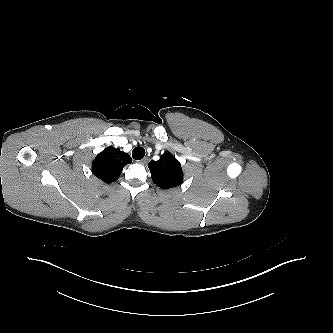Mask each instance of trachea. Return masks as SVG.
Returning <instances> with one entry per match:
<instances>
[{"label": "trachea", "mask_w": 333, "mask_h": 333, "mask_svg": "<svg viewBox=\"0 0 333 333\" xmlns=\"http://www.w3.org/2000/svg\"><path fill=\"white\" fill-rule=\"evenodd\" d=\"M145 155V149L143 147H136L132 151V157L135 160H141Z\"/></svg>", "instance_id": "trachea-1"}]
</instances>
